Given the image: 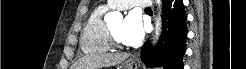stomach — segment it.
Instances as JSON below:
<instances>
[{"label":"stomach","mask_w":246,"mask_h":69,"mask_svg":"<svg viewBox=\"0 0 246 69\" xmlns=\"http://www.w3.org/2000/svg\"><path fill=\"white\" fill-rule=\"evenodd\" d=\"M124 69H139V68L136 62H134L133 60H127L124 63Z\"/></svg>","instance_id":"0dacf381"}]
</instances>
